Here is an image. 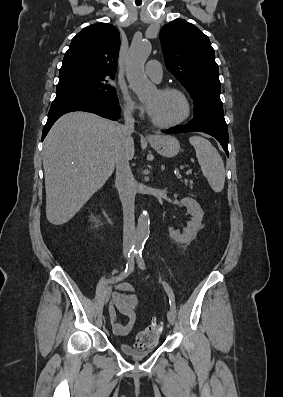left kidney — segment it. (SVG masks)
Listing matches in <instances>:
<instances>
[{
  "mask_svg": "<svg viewBox=\"0 0 283 397\" xmlns=\"http://www.w3.org/2000/svg\"><path fill=\"white\" fill-rule=\"evenodd\" d=\"M180 203L187 208L192 216V219L188 223L187 227L184 228L183 234L175 231L172 227L169 228V234L175 242L189 244L193 239H195L198 231L201 228V221L203 219L204 212L197 201L192 198H183Z\"/></svg>",
  "mask_w": 283,
  "mask_h": 397,
  "instance_id": "1",
  "label": "left kidney"
}]
</instances>
